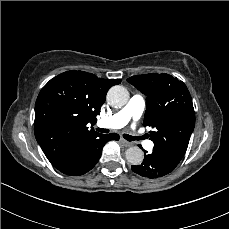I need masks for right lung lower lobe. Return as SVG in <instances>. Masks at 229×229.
Masks as SVG:
<instances>
[{"instance_id": "1", "label": "right lung lower lobe", "mask_w": 229, "mask_h": 229, "mask_svg": "<svg viewBox=\"0 0 229 229\" xmlns=\"http://www.w3.org/2000/svg\"><path fill=\"white\" fill-rule=\"evenodd\" d=\"M116 133L98 134L96 137L88 139L68 158L64 163L56 167L60 172L80 176L91 170L98 162L102 148L110 140H118Z\"/></svg>"}]
</instances>
